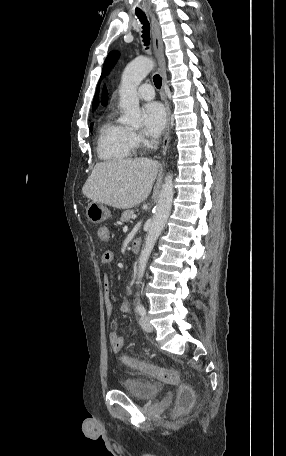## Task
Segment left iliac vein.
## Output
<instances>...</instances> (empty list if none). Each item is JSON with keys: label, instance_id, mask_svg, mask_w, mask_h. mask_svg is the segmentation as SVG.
<instances>
[{"label": "left iliac vein", "instance_id": "1", "mask_svg": "<svg viewBox=\"0 0 286 456\" xmlns=\"http://www.w3.org/2000/svg\"><path fill=\"white\" fill-rule=\"evenodd\" d=\"M139 323L144 331H146V332L153 331V326L150 324L147 316H141L139 319Z\"/></svg>", "mask_w": 286, "mask_h": 456}]
</instances>
